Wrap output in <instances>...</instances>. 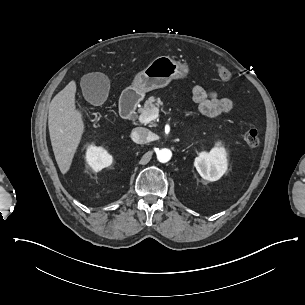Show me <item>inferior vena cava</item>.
<instances>
[{
    "label": "inferior vena cava",
    "instance_id": "602c4592",
    "mask_svg": "<svg viewBox=\"0 0 305 305\" xmlns=\"http://www.w3.org/2000/svg\"><path fill=\"white\" fill-rule=\"evenodd\" d=\"M150 131L143 127H137L133 129L131 133V138L135 143L143 144L148 142V137L150 136Z\"/></svg>",
    "mask_w": 305,
    "mask_h": 305
}]
</instances>
